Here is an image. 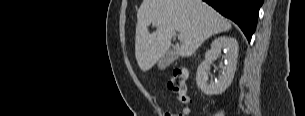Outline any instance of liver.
Wrapping results in <instances>:
<instances>
[{
	"mask_svg": "<svg viewBox=\"0 0 305 116\" xmlns=\"http://www.w3.org/2000/svg\"><path fill=\"white\" fill-rule=\"evenodd\" d=\"M157 30L149 32V25ZM231 29V23L202 0H143L137 12L135 56L145 72L168 51L173 33L182 38L177 54L189 57L212 35Z\"/></svg>",
	"mask_w": 305,
	"mask_h": 116,
	"instance_id": "obj_1",
	"label": "liver"
}]
</instances>
